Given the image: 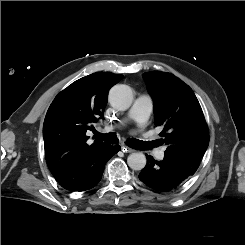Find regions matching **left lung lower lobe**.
<instances>
[{"instance_id": "obj_1", "label": "left lung lower lobe", "mask_w": 245, "mask_h": 245, "mask_svg": "<svg viewBox=\"0 0 245 245\" xmlns=\"http://www.w3.org/2000/svg\"><path fill=\"white\" fill-rule=\"evenodd\" d=\"M147 158V165L139 173V179L159 192L177 189L194 175L200 165L171 154H165L162 161H155L149 155Z\"/></svg>"}]
</instances>
